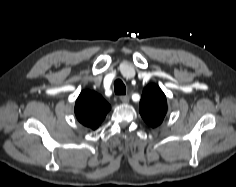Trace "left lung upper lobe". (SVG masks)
Segmentation results:
<instances>
[{
    "label": "left lung upper lobe",
    "mask_w": 236,
    "mask_h": 187,
    "mask_svg": "<svg viewBox=\"0 0 236 187\" xmlns=\"http://www.w3.org/2000/svg\"><path fill=\"white\" fill-rule=\"evenodd\" d=\"M139 112L144 121L153 128L162 123L167 113V101L159 86L150 84L144 88Z\"/></svg>",
    "instance_id": "obj_1"
}]
</instances>
